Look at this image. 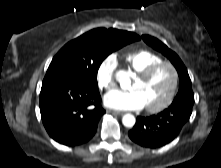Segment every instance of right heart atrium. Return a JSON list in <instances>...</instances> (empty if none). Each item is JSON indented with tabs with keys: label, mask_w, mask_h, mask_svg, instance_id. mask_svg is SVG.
<instances>
[{
	"label": "right heart atrium",
	"mask_w": 221,
	"mask_h": 168,
	"mask_svg": "<svg viewBox=\"0 0 221 168\" xmlns=\"http://www.w3.org/2000/svg\"><path fill=\"white\" fill-rule=\"evenodd\" d=\"M117 59L114 54L106 56L99 64L96 71V80L101 90H110L115 87V73L117 70Z\"/></svg>",
	"instance_id": "1"
}]
</instances>
